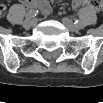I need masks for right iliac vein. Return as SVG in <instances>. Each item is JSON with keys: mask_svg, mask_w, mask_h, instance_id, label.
<instances>
[{"mask_svg": "<svg viewBox=\"0 0 103 103\" xmlns=\"http://www.w3.org/2000/svg\"><path fill=\"white\" fill-rule=\"evenodd\" d=\"M33 25H34V21L31 20V19H27V20H25L24 23H23V27H24V28H30V27H32Z\"/></svg>", "mask_w": 103, "mask_h": 103, "instance_id": "obj_1", "label": "right iliac vein"}]
</instances>
